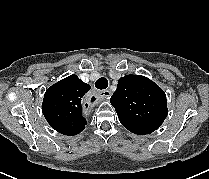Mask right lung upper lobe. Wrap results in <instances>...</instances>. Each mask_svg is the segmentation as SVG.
<instances>
[{
  "label": "right lung upper lobe",
  "instance_id": "cb5924a9",
  "mask_svg": "<svg viewBox=\"0 0 209 179\" xmlns=\"http://www.w3.org/2000/svg\"><path fill=\"white\" fill-rule=\"evenodd\" d=\"M89 90L90 85L75 74L49 87L44 95L42 111L50 126L68 136L83 131L87 122L82 112L85 94ZM93 100L95 97L91 98Z\"/></svg>",
  "mask_w": 209,
  "mask_h": 179
}]
</instances>
